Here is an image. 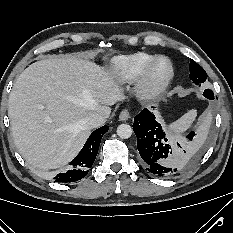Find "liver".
Listing matches in <instances>:
<instances>
[{"label":"liver","mask_w":233,"mask_h":233,"mask_svg":"<svg viewBox=\"0 0 233 233\" xmlns=\"http://www.w3.org/2000/svg\"><path fill=\"white\" fill-rule=\"evenodd\" d=\"M124 99L114 75L79 57L48 58L14 82L8 116L23 158L39 170L56 169L81 150L91 129L85 119Z\"/></svg>","instance_id":"obj_1"}]
</instances>
